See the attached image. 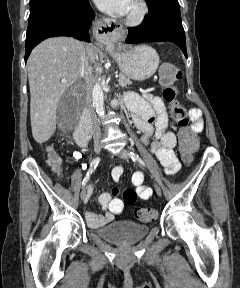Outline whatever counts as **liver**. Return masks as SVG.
Returning <instances> with one entry per match:
<instances>
[{"label": "liver", "mask_w": 240, "mask_h": 288, "mask_svg": "<svg viewBox=\"0 0 240 288\" xmlns=\"http://www.w3.org/2000/svg\"><path fill=\"white\" fill-rule=\"evenodd\" d=\"M85 45L68 37L49 38L37 45L30 54L27 71L30 87V118L32 135L42 144L56 129V109L63 93L79 79ZM99 49L92 45L88 54L91 62L98 58ZM66 82H62V80Z\"/></svg>", "instance_id": "1"}]
</instances>
